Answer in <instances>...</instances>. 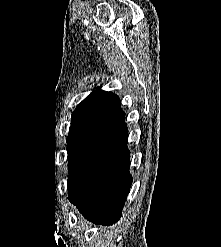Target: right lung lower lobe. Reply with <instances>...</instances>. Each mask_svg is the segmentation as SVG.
I'll return each mask as SVG.
<instances>
[{
  "label": "right lung lower lobe",
  "instance_id": "obj_1",
  "mask_svg": "<svg viewBox=\"0 0 221 247\" xmlns=\"http://www.w3.org/2000/svg\"><path fill=\"white\" fill-rule=\"evenodd\" d=\"M125 117L95 125L67 145L69 201L89 221L119 220L132 184Z\"/></svg>",
  "mask_w": 221,
  "mask_h": 247
}]
</instances>
